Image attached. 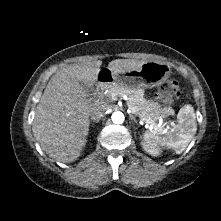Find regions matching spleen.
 Segmentation results:
<instances>
[{
    "label": "spleen",
    "instance_id": "1",
    "mask_svg": "<svg viewBox=\"0 0 221 221\" xmlns=\"http://www.w3.org/2000/svg\"><path fill=\"white\" fill-rule=\"evenodd\" d=\"M178 125L167 136H159L155 132H145L144 139L152 145H160L173 149L176 153H182L193 139L196 131V116L191 105H185L177 115Z\"/></svg>",
    "mask_w": 221,
    "mask_h": 221
}]
</instances>
